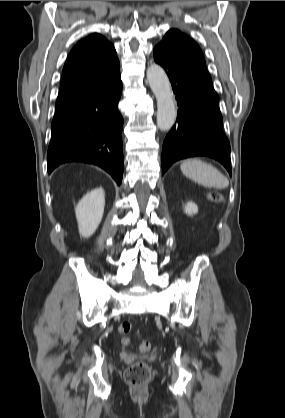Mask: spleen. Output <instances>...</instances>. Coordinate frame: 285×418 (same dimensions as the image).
Listing matches in <instances>:
<instances>
[{
    "label": "spleen",
    "instance_id": "3e777b00",
    "mask_svg": "<svg viewBox=\"0 0 285 418\" xmlns=\"http://www.w3.org/2000/svg\"><path fill=\"white\" fill-rule=\"evenodd\" d=\"M180 169L186 177L205 187L224 189L229 185L228 179L218 169L196 158L183 161Z\"/></svg>",
    "mask_w": 285,
    "mask_h": 418
}]
</instances>
